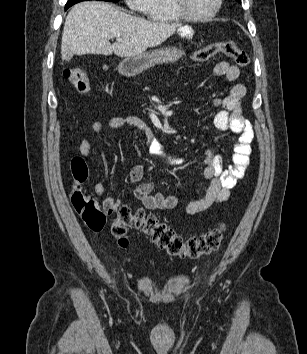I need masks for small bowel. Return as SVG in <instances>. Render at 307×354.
I'll return each mask as SVG.
<instances>
[{"label": "small bowel", "instance_id": "obj_1", "mask_svg": "<svg viewBox=\"0 0 307 354\" xmlns=\"http://www.w3.org/2000/svg\"><path fill=\"white\" fill-rule=\"evenodd\" d=\"M176 38H195V31L178 29ZM217 76H222L226 80L233 82L239 77V68L228 63L220 62L214 68ZM246 94V87L241 83L234 84L226 97L217 99L216 105L220 110L213 119L214 127L219 131H231L238 135V141L234 146L232 164L228 169L223 168L221 156L214 155L209 149L206 150V157L203 162V175L209 182L206 194L198 199L191 201L186 206V213L194 215L202 212L214 204L226 201L230 196V191L237 182L244 176L250 162L251 143L254 133L251 123L242 115V98ZM111 129L135 128L139 130L145 138V147L148 151L169 166H179L183 159L176 158L167 154L160 139L154 134L151 127L142 119L136 116L113 117L106 123ZM105 124L100 121L92 123L91 129L95 133H101ZM79 152L84 157L92 155L91 144L87 139H82L79 144ZM144 177V167L134 166L129 173L131 183H139ZM153 184L150 182L140 183L132 194L135 199L141 201L148 210H170L178 205L177 197L166 195L162 192L152 194ZM105 191L102 182L94 185V192L101 196ZM105 208L114 211L120 205V200L107 197L103 200Z\"/></svg>", "mask_w": 307, "mask_h": 354}]
</instances>
